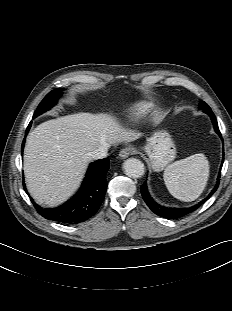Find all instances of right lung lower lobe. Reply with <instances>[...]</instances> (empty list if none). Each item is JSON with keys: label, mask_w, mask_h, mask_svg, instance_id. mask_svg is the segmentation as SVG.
<instances>
[{"label": "right lung lower lobe", "mask_w": 232, "mask_h": 311, "mask_svg": "<svg viewBox=\"0 0 232 311\" xmlns=\"http://www.w3.org/2000/svg\"><path fill=\"white\" fill-rule=\"evenodd\" d=\"M31 123L32 121L26 129V135ZM24 143L25 139L22 144V150ZM109 162V159L105 158L91 163L77 194L58 208L44 209L35 204L31 199L38 213L46 219L64 224H78L92 217L104 200L107 187L105 175L109 169ZM24 189L26 191L25 185Z\"/></svg>", "instance_id": "98d812e1"}]
</instances>
